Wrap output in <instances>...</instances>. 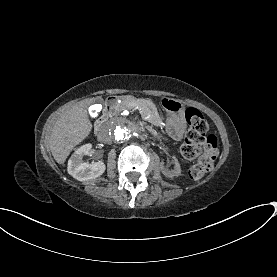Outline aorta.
<instances>
[{
  "mask_svg": "<svg viewBox=\"0 0 277 277\" xmlns=\"http://www.w3.org/2000/svg\"><path fill=\"white\" fill-rule=\"evenodd\" d=\"M110 131L116 143H132L145 133V123L137 117H117L110 122Z\"/></svg>",
  "mask_w": 277,
  "mask_h": 277,
  "instance_id": "aorta-1",
  "label": "aorta"
}]
</instances>
